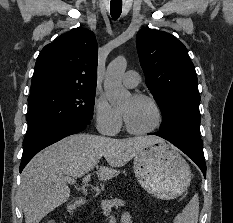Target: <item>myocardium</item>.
I'll use <instances>...</instances> for the list:
<instances>
[{"mask_svg": "<svg viewBox=\"0 0 233 223\" xmlns=\"http://www.w3.org/2000/svg\"><path fill=\"white\" fill-rule=\"evenodd\" d=\"M132 98L145 100V101H148L149 103H151L156 111L158 120H157V124L152 129L147 130V131H143V132H139V131L133 130L128 125L127 121L125 120V118L122 115L124 127H125L127 133H129L130 135H133V136L142 137V136L151 135V134L159 131L164 124V113H163V110H162L160 104L156 101V99H154L153 97H151L149 95L141 94V93L133 94Z\"/></svg>", "mask_w": 233, "mask_h": 223, "instance_id": "myocardium-1", "label": "myocardium"}]
</instances>
